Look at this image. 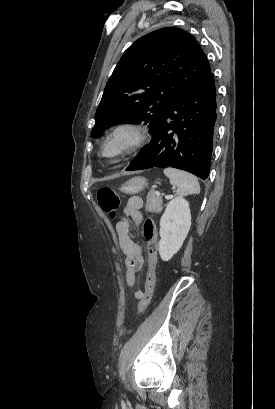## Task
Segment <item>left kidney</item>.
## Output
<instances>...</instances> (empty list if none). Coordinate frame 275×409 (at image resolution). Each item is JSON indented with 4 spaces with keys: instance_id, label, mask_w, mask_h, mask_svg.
Masks as SVG:
<instances>
[{
    "instance_id": "1",
    "label": "left kidney",
    "mask_w": 275,
    "mask_h": 409,
    "mask_svg": "<svg viewBox=\"0 0 275 409\" xmlns=\"http://www.w3.org/2000/svg\"><path fill=\"white\" fill-rule=\"evenodd\" d=\"M191 227L189 202L181 196L172 198L160 221L159 255L162 261H169L178 253Z\"/></svg>"
}]
</instances>
